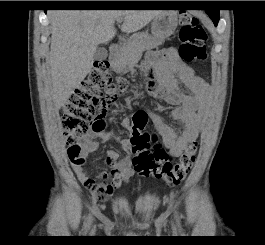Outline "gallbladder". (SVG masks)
Here are the masks:
<instances>
[{
	"mask_svg": "<svg viewBox=\"0 0 265 245\" xmlns=\"http://www.w3.org/2000/svg\"><path fill=\"white\" fill-rule=\"evenodd\" d=\"M108 56V52L104 47H98L94 53V59L97 61L105 60Z\"/></svg>",
	"mask_w": 265,
	"mask_h": 245,
	"instance_id": "obj_1",
	"label": "gallbladder"
}]
</instances>
